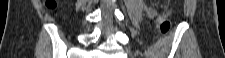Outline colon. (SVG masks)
Here are the masks:
<instances>
[{"mask_svg": "<svg viewBox=\"0 0 225 58\" xmlns=\"http://www.w3.org/2000/svg\"><path fill=\"white\" fill-rule=\"evenodd\" d=\"M47 8L52 11L55 9V2L54 1H48L47 2ZM170 28V22L165 17H160L158 19V31L161 34H166Z\"/></svg>", "mask_w": 225, "mask_h": 58, "instance_id": "5ec220e1", "label": "colon"}]
</instances>
